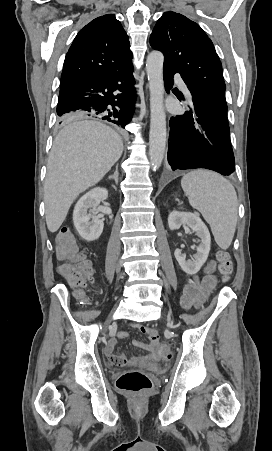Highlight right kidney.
<instances>
[{
	"label": "right kidney",
	"instance_id": "obj_1",
	"mask_svg": "<svg viewBox=\"0 0 272 451\" xmlns=\"http://www.w3.org/2000/svg\"><path fill=\"white\" fill-rule=\"evenodd\" d=\"M107 198L108 190L106 188H94L78 200L73 212V222L78 233L84 239L92 241L101 235L104 222L96 214H98L97 208L100 202Z\"/></svg>",
	"mask_w": 272,
	"mask_h": 451
}]
</instances>
